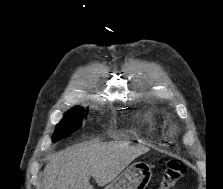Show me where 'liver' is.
<instances>
[{
	"instance_id": "liver-1",
	"label": "liver",
	"mask_w": 223,
	"mask_h": 189,
	"mask_svg": "<svg viewBox=\"0 0 223 189\" xmlns=\"http://www.w3.org/2000/svg\"><path fill=\"white\" fill-rule=\"evenodd\" d=\"M125 142H85L52 155L43 171L39 189H94L112 182L142 151Z\"/></svg>"
}]
</instances>
